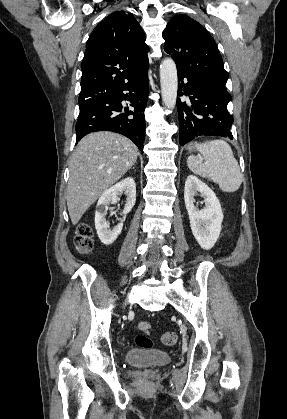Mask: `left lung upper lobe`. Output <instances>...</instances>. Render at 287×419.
<instances>
[{
    "label": "left lung upper lobe",
    "mask_w": 287,
    "mask_h": 419,
    "mask_svg": "<svg viewBox=\"0 0 287 419\" xmlns=\"http://www.w3.org/2000/svg\"><path fill=\"white\" fill-rule=\"evenodd\" d=\"M164 50L178 74L225 86L229 77L217 45L207 30L186 15L174 16L163 33Z\"/></svg>",
    "instance_id": "obj_1"
}]
</instances>
